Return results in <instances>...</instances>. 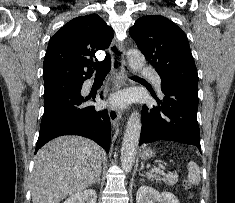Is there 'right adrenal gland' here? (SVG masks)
I'll return each mask as SVG.
<instances>
[{"instance_id": "obj_1", "label": "right adrenal gland", "mask_w": 235, "mask_h": 203, "mask_svg": "<svg viewBox=\"0 0 235 203\" xmlns=\"http://www.w3.org/2000/svg\"><path fill=\"white\" fill-rule=\"evenodd\" d=\"M100 174L98 175V177L95 179V181L93 182V184H96V183H98V184H100Z\"/></svg>"}]
</instances>
